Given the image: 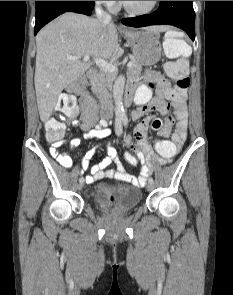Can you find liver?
Segmentation results:
<instances>
[{
    "mask_svg": "<svg viewBox=\"0 0 233 295\" xmlns=\"http://www.w3.org/2000/svg\"><path fill=\"white\" fill-rule=\"evenodd\" d=\"M155 30H168L155 26ZM34 84L42 122L51 116L59 95L69 84L84 75L91 62L69 60L67 55L108 59L118 48V34L113 23L67 12L50 22L36 36Z\"/></svg>",
    "mask_w": 233,
    "mask_h": 295,
    "instance_id": "obj_1",
    "label": "liver"
}]
</instances>
